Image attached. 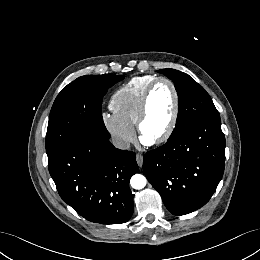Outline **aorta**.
<instances>
[{
  "label": "aorta",
  "instance_id": "aorta-1",
  "mask_svg": "<svg viewBox=\"0 0 260 260\" xmlns=\"http://www.w3.org/2000/svg\"><path fill=\"white\" fill-rule=\"evenodd\" d=\"M147 180L141 174H135L130 179V185L134 189H143L146 186Z\"/></svg>",
  "mask_w": 260,
  "mask_h": 260
}]
</instances>
